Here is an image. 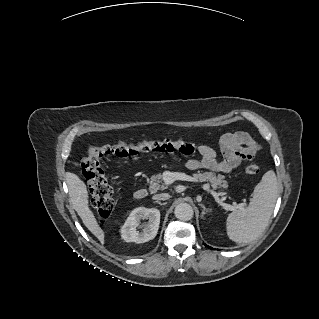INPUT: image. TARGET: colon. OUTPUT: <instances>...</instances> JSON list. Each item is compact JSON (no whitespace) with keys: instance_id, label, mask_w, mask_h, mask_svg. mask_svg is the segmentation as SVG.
<instances>
[{"instance_id":"colon-1","label":"colon","mask_w":319,"mask_h":319,"mask_svg":"<svg viewBox=\"0 0 319 319\" xmlns=\"http://www.w3.org/2000/svg\"><path fill=\"white\" fill-rule=\"evenodd\" d=\"M196 149L197 144L195 142L186 140L142 141L136 143L113 140L89 145L81 162V172L89 185L97 217L107 219L114 208V191L103 167V159L106 156L134 157L141 153L167 154L175 152L182 155H191L195 153ZM259 171V167L255 164H248L245 167V172L249 175H257Z\"/></svg>"}]
</instances>
